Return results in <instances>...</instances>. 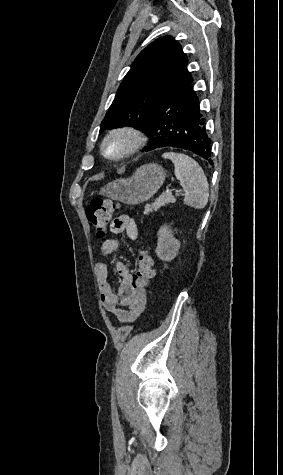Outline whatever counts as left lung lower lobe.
<instances>
[{"mask_svg": "<svg viewBox=\"0 0 283 475\" xmlns=\"http://www.w3.org/2000/svg\"><path fill=\"white\" fill-rule=\"evenodd\" d=\"M143 132L149 137L144 151L160 147L189 150L211 164V139L199 98L192 89L191 75L171 89L155 106L144 124Z\"/></svg>", "mask_w": 283, "mask_h": 475, "instance_id": "1", "label": "left lung lower lobe"}]
</instances>
